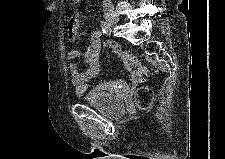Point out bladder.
<instances>
[{
  "label": "bladder",
  "instance_id": "bladder-1",
  "mask_svg": "<svg viewBox=\"0 0 225 159\" xmlns=\"http://www.w3.org/2000/svg\"><path fill=\"white\" fill-rule=\"evenodd\" d=\"M80 100L112 117H118L125 112L123 98L99 90L98 88L84 91L80 94Z\"/></svg>",
  "mask_w": 225,
  "mask_h": 159
}]
</instances>
